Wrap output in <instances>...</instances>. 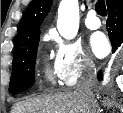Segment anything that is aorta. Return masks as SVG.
I'll list each match as a JSON object with an SVG mask.
<instances>
[{
    "label": "aorta",
    "instance_id": "1",
    "mask_svg": "<svg viewBox=\"0 0 123 113\" xmlns=\"http://www.w3.org/2000/svg\"><path fill=\"white\" fill-rule=\"evenodd\" d=\"M57 29L65 39H73L79 29L78 0H61L58 8Z\"/></svg>",
    "mask_w": 123,
    "mask_h": 113
}]
</instances>
